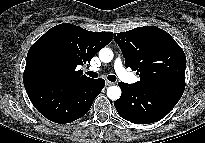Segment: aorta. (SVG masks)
<instances>
[{
	"label": "aorta",
	"instance_id": "aorta-1",
	"mask_svg": "<svg viewBox=\"0 0 205 143\" xmlns=\"http://www.w3.org/2000/svg\"><path fill=\"white\" fill-rule=\"evenodd\" d=\"M113 52L109 48H103L99 51V58L102 62L108 63L113 59ZM107 96L112 101L118 100L121 96V89L118 86H110L107 88Z\"/></svg>",
	"mask_w": 205,
	"mask_h": 143
}]
</instances>
